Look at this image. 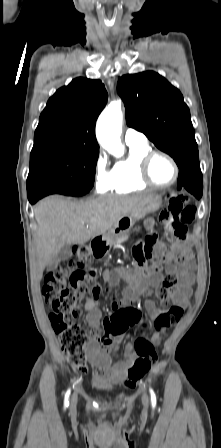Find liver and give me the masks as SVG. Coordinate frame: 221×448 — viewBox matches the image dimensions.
I'll return each mask as SVG.
<instances>
[{"mask_svg": "<svg viewBox=\"0 0 221 448\" xmlns=\"http://www.w3.org/2000/svg\"><path fill=\"white\" fill-rule=\"evenodd\" d=\"M154 195L100 196L72 202L50 196L34 208L38 230L35 236L38 278L65 244H83L105 234L118 221Z\"/></svg>", "mask_w": 221, "mask_h": 448, "instance_id": "liver-1", "label": "liver"}]
</instances>
